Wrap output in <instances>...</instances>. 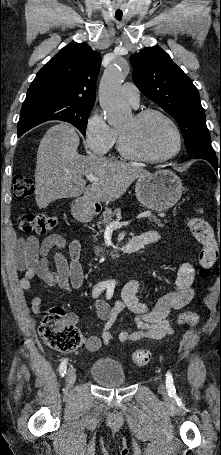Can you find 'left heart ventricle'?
<instances>
[{"label": "left heart ventricle", "instance_id": "left-heart-ventricle-1", "mask_svg": "<svg viewBox=\"0 0 221 455\" xmlns=\"http://www.w3.org/2000/svg\"><path fill=\"white\" fill-rule=\"evenodd\" d=\"M119 130L125 133L130 147L145 156L163 157L176 145L171 127L159 116H150L140 122L132 116Z\"/></svg>", "mask_w": 221, "mask_h": 455}]
</instances>
